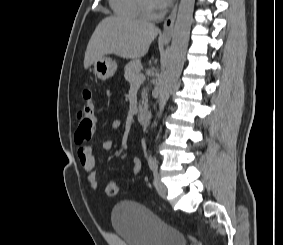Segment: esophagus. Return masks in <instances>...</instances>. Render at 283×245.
I'll list each match as a JSON object with an SVG mask.
<instances>
[{"instance_id":"esophagus-1","label":"esophagus","mask_w":283,"mask_h":245,"mask_svg":"<svg viewBox=\"0 0 283 245\" xmlns=\"http://www.w3.org/2000/svg\"><path fill=\"white\" fill-rule=\"evenodd\" d=\"M177 14V5L173 8L170 15L164 22L162 33L160 34V39L163 41H170L173 35L174 22Z\"/></svg>"}]
</instances>
